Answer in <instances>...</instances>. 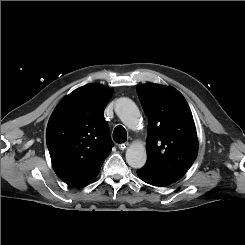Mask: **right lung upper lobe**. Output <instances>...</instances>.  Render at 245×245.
Wrapping results in <instances>:
<instances>
[{"label":"right lung upper lobe","mask_w":245,"mask_h":245,"mask_svg":"<svg viewBox=\"0 0 245 245\" xmlns=\"http://www.w3.org/2000/svg\"><path fill=\"white\" fill-rule=\"evenodd\" d=\"M112 96L108 87L87 84L64 97L52 113L46 141L57 176L70 186L95 179L113 143L102 112Z\"/></svg>","instance_id":"right-lung-upper-lobe-1"}]
</instances>
